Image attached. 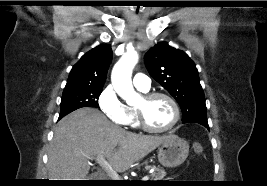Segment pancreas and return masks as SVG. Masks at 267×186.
Masks as SVG:
<instances>
[{
	"mask_svg": "<svg viewBox=\"0 0 267 186\" xmlns=\"http://www.w3.org/2000/svg\"><path fill=\"white\" fill-rule=\"evenodd\" d=\"M146 169L154 170V172L150 174L151 181H160L166 176V172L162 167L146 166Z\"/></svg>",
	"mask_w": 267,
	"mask_h": 186,
	"instance_id": "pancreas-1",
	"label": "pancreas"
}]
</instances>
